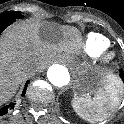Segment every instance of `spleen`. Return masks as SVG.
Instances as JSON below:
<instances>
[{
  "instance_id": "1",
  "label": "spleen",
  "mask_w": 124,
  "mask_h": 124,
  "mask_svg": "<svg viewBox=\"0 0 124 124\" xmlns=\"http://www.w3.org/2000/svg\"><path fill=\"white\" fill-rule=\"evenodd\" d=\"M120 92L119 83L112 78V83L107 84L94 98L76 97L72 100V106L79 116L89 122L103 121L108 117L109 110L117 105Z\"/></svg>"
}]
</instances>
